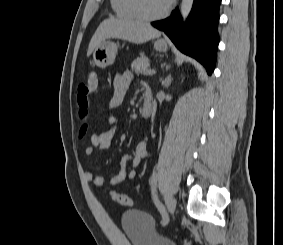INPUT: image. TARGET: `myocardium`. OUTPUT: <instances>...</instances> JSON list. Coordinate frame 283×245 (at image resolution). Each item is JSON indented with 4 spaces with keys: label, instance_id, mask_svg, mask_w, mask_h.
I'll use <instances>...</instances> for the list:
<instances>
[{
    "label": "myocardium",
    "instance_id": "f54148a6",
    "mask_svg": "<svg viewBox=\"0 0 283 245\" xmlns=\"http://www.w3.org/2000/svg\"><path fill=\"white\" fill-rule=\"evenodd\" d=\"M174 0H169L168 4L166 5L165 9L155 15H149L147 13H145V11L143 10L142 6H141V0H132V5H133V9L135 11V13L137 14L138 18L144 20V21H156V20H160L164 17H166L173 5Z\"/></svg>",
    "mask_w": 283,
    "mask_h": 245
}]
</instances>
